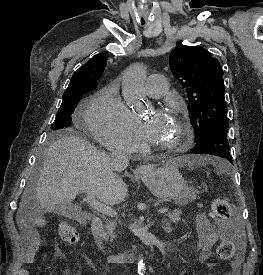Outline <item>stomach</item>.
<instances>
[{
  "instance_id": "1",
  "label": "stomach",
  "mask_w": 263,
  "mask_h": 275,
  "mask_svg": "<svg viewBox=\"0 0 263 275\" xmlns=\"http://www.w3.org/2000/svg\"><path fill=\"white\" fill-rule=\"evenodd\" d=\"M142 180L155 196L170 198L179 205L193 201L198 193L197 190L186 185L176 161L148 168L142 175Z\"/></svg>"
}]
</instances>
